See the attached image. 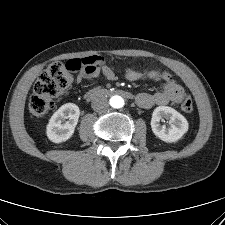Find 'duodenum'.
Here are the masks:
<instances>
[{"label":"duodenum","mask_w":225,"mask_h":225,"mask_svg":"<svg viewBox=\"0 0 225 225\" xmlns=\"http://www.w3.org/2000/svg\"><path fill=\"white\" fill-rule=\"evenodd\" d=\"M113 94H119L125 97H132V95L124 90H107V89H99L96 90L95 92H93L89 99H97V98H101V97H105V96H109V95H113Z\"/></svg>","instance_id":"duodenum-1"}]
</instances>
